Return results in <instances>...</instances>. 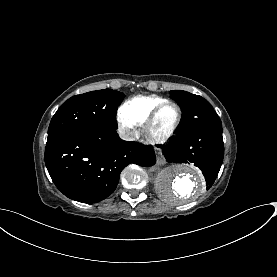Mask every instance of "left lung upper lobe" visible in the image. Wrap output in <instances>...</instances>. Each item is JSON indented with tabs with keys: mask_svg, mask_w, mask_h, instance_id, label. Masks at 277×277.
I'll use <instances>...</instances> for the list:
<instances>
[{
	"mask_svg": "<svg viewBox=\"0 0 277 277\" xmlns=\"http://www.w3.org/2000/svg\"><path fill=\"white\" fill-rule=\"evenodd\" d=\"M183 113V123L179 133L191 132L208 126H222L221 120L207 100L186 91H171Z\"/></svg>",
	"mask_w": 277,
	"mask_h": 277,
	"instance_id": "obj_1",
	"label": "left lung upper lobe"
}]
</instances>
